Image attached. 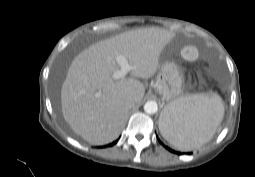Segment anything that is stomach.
<instances>
[{
    "instance_id": "stomach-1",
    "label": "stomach",
    "mask_w": 255,
    "mask_h": 177,
    "mask_svg": "<svg viewBox=\"0 0 255 177\" xmlns=\"http://www.w3.org/2000/svg\"><path fill=\"white\" fill-rule=\"evenodd\" d=\"M183 89L184 76L180 67L170 61L162 63L155 83L156 92L170 104L183 95Z\"/></svg>"
}]
</instances>
